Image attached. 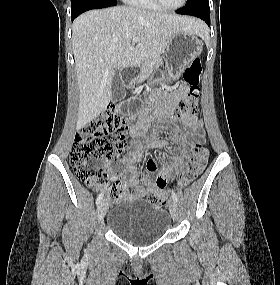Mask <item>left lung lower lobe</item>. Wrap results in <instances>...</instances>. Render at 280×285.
Returning <instances> with one entry per match:
<instances>
[{
    "instance_id": "left-lung-lower-lobe-1",
    "label": "left lung lower lobe",
    "mask_w": 280,
    "mask_h": 285,
    "mask_svg": "<svg viewBox=\"0 0 280 285\" xmlns=\"http://www.w3.org/2000/svg\"><path fill=\"white\" fill-rule=\"evenodd\" d=\"M178 14L192 15L204 20L210 26V7L209 3H196L190 6H185L176 11Z\"/></svg>"
}]
</instances>
